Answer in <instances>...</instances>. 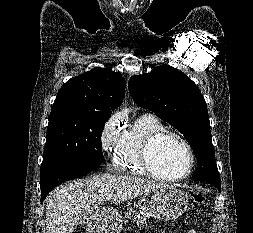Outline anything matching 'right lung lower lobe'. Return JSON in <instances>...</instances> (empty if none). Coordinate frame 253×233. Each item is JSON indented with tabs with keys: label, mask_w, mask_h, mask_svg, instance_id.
Masks as SVG:
<instances>
[{
	"label": "right lung lower lobe",
	"mask_w": 253,
	"mask_h": 233,
	"mask_svg": "<svg viewBox=\"0 0 253 233\" xmlns=\"http://www.w3.org/2000/svg\"><path fill=\"white\" fill-rule=\"evenodd\" d=\"M95 163L59 162L41 169V202L48 193L61 183L79 178L97 168Z\"/></svg>",
	"instance_id": "98d812e1"
}]
</instances>
